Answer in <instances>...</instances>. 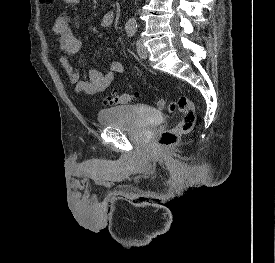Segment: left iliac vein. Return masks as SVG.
<instances>
[{
  "label": "left iliac vein",
  "mask_w": 275,
  "mask_h": 263,
  "mask_svg": "<svg viewBox=\"0 0 275 263\" xmlns=\"http://www.w3.org/2000/svg\"><path fill=\"white\" fill-rule=\"evenodd\" d=\"M136 48H137V53L138 55L143 58L146 59L147 55H148V51L146 49V47L144 46L143 42L139 39L136 42Z\"/></svg>",
  "instance_id": "4c4485c4"
}]
</instances>
